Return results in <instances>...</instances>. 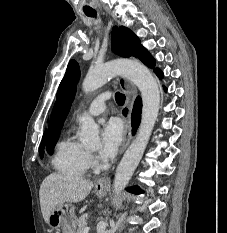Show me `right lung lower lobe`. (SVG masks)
Returning <instances> with one entry per match:
<instances>
[{
    "label": "right lung lower lobe",
    "mask_w": 227,
    "mask_h": 233,
    "mask_svg": "<svg viewBox=\"0 0 227 233\" xmlns=\"http://www.w3.org/2000/svg\"><path fill=\"white\" fill-rule=\"evenodd\" d=\"M138 125H139L138 109H137V105L135 103L133 113H132V127H133L132 131H133V133H135V130L137 129Z\"/></svg>",
    "instance_id": "right-lung-lower-lobe-1"
}]
</instances>
